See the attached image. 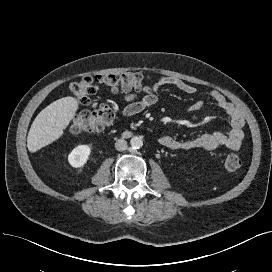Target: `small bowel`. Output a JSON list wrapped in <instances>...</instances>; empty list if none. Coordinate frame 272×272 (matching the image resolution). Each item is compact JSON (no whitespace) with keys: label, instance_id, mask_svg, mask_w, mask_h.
I'll return each mask as SVG.
<instances>
[{"label":"small bowel","instance_id":"1","mask_svg":"<svg viewBox=\"0 0 272 272\" xmlns=\"http://www.w3.org/2000/svg\"><path fill=\"white\" fill-rule=\"evenodd\" d=\"M163 85L174 86L180 91L190 95L197 93V88L184 80L173 76H163L157 79L153 83L150 91L144 95L137 93L125 94L122 98V115L125 117H131L155 105L158 102L157 91ZM209 95L215 104L227 115L228 124L219 130L204 133L189 140H179L171 135H163L159 139L162 146L170 150H214L221 146L231 150H238L241 147L244 139V114L236 105L228 101L218 90L212 89L209 92ZM203 105L204 101L199 100L190 106L189 111L191 113H195L200 110Z\"/></svg>","mask_w":272,"mask_h":272}]
</instances>
